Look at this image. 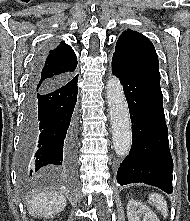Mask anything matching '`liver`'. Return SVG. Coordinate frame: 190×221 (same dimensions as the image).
Here are the masks:
<instances>
[{
	"label": "liver",
	"instance_id": "1",
	"mask_svg": "<svg viewBox=\"0 0 190 221\" xmlns=\"http://www.w3.org/2000/svg\"><path fill=\"white\" fill-rule=\"evenodd\" d=\"M29 213L34 217H53L66 207V199L57 192H40L28 201Z\"/></svg>",
	"mask_w": 190,
	"mask_h": 221
}]
</instances>
